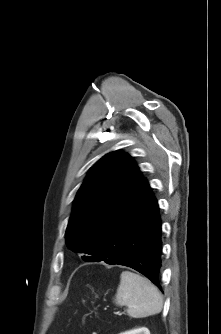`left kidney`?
Masks as SVG:
<instances>
[{
  "instance_id": "1",
  "label": "left kidney",
  "mask_w": 221,
  "mask_h": 334,
  "mask_svg": "<svg viewBox=\"0 0 221 334\" xmlns=\"http://www.w3.org/2000/svg\"><path fill=\"white\" fill-rule=\"evenodd\" d=\"M120 334H150V331L147 328L142 327V328H139V329L126 331V332H123V333H120Z\"/></svg>"
}]
</instances>
